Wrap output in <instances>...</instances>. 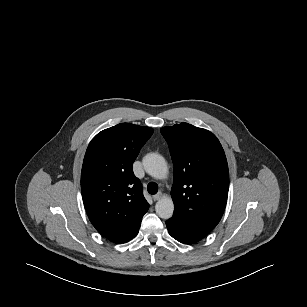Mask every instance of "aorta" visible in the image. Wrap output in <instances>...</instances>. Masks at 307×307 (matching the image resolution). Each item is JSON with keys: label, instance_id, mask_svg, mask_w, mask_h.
Instances as JSON below:
<instances>
[{"label": "aorta", "instance_id": "1", "mask_svg": "<svg viewBox=\"0 0 307 307\" xmlns=\"http://www.w3.org/2000/svg\"><path fill=\"white\" fill-rule=\"evenodd\" d=\"M145 171L156 179H164L168 175L167 163L163 156L157 153H149L143 158ZM156 213L160 218L169 219L174 212V203L170 197L161 198L155 206Z\"/></svg>", "mask_w": 307, "mask_h": 307}]
</instances>
